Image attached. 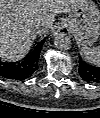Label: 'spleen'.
<instances>
[{
    "label": "spleen",
    "instance_id": "3e777b00",
    "mask_svg": "<svg viewBox=\"0 0 100 118\" xmlns=\"http://www.w3.org/2000/svg\"><path fill=\"white\" fill-rule=\"evenodd\" d=\"M82 51L85 55V58L94 65L100 64V47H89L86 44H83Z\"/></svg>",
    "mask_w": 100,
    "mask_h": 118
}]
</instances>
